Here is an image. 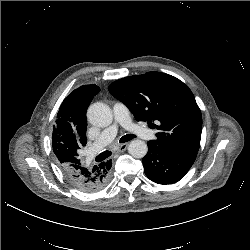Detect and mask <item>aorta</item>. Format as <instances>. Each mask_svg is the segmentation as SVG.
I'll list each match as a JSON object with an SVG mask.
<instances>
[{
  "label": "aorta",
  "instance_id": "obj_1",
  "mask_svg": "<svg viewBox=\"0 0 250 250\" xmlns=\"http://www.w3.org/2000/svg\"><path fill=\"white\" fill-rule=\"evenodd\" d=\"M89 122L95 126L104 128L113 122V114L109 107L104 104H92L87 112ZM148 151L147 144L139 139L133 140L128 146V152L134 158H143Z\"/></svg>",
  "mask_w": 250,
  "mask_h": 250
}]
</instances>
